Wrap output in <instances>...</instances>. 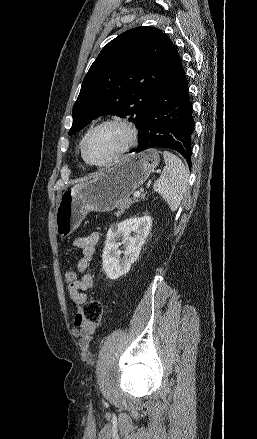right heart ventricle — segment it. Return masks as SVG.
<instances>
[{
  "label": "right heart ventricle",
  "instance_id": "1",
  "mask_svg": "<svg viewBox=\"0 0 257 439\" xmlns=\"http://www.w3.org/2000/svg\"><path fill=\"white\" fill-rule=\"evenodd\" d=\"M85 136H86V134H84V135L82 136V138H81V140H80V143H79V149H80L81 155H82V144H83V140H84Z\"/></svg>",
  "mask_w": 257,
  "mask_h": 439
}]
</instances>
